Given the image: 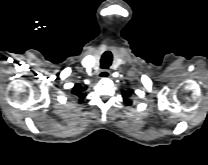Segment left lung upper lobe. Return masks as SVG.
<instances>
[{
    "instance_id": "left-lung-upper-lobe-1",
    "label": "left lung upper lobe",
    "mask_w": 208,
    "mask_h": 165,
    "mask_svg": "<svg viewBox=\"0 0 208 165\" xmlns=\"http://www.w3.org/2000/svg\"><path fill=\"white\" fill-rule=\"evenodd\" d=\"M123 93V96H124V102L127 104V105H131L132 104V101L129 99V97L133 94V91L132 90H128L127 92L126 91H122Z\"/></svg>"
}]
</instances>
